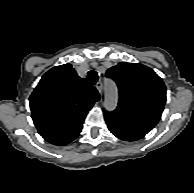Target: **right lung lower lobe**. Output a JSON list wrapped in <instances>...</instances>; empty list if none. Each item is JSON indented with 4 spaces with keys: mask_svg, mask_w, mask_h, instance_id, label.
<instances>
[{
    "mask_svg": "<svg viewBox=\"0 0 194 193\" xmlns=\"http://www.w3.org/2000/svg\"><path fill=\"white\" fill-rule=\"evenodd\" d=\"M81 130H82V125L78 127L74 132L56 139L49 140L48 142L59 146L66 145L71 141H73L80 134Z\"/></svg>",
    "mask_w": 194,
    "mask_h": 193,
    "instance_id": "obj_1",
    "label": "right lung lower lobe"
}]
</instances>
